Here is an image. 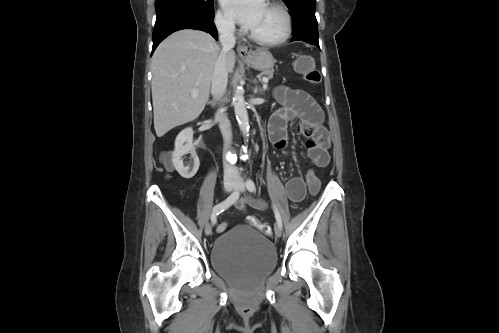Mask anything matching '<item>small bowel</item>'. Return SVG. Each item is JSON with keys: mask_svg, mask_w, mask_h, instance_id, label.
<instances>
[{"mask_svg": "<svg viewBox=\"0 0 499 333\" xmlns=\"http://www.w3.org/2000/svg\"><path fill=\"white\" fill-rule=\"evenodd\" d=\"M275 96L282 107L276 110L268 123V135L271 143L278 150H284L288 144V126L297 120V132L306 138L305 146L308 157L317 167L323 168L329 164L330 135L323 125V111L316 101L306 92L288 87H278ZM286 191L292 202H300L306 194L305 183L300 177H292L286 183ZM247 205L263 210L266 204L259 199L238 198L235 206L244 212ZM227 224L218 227L222 232Z\"/></svg>", "mask_w": 499, "mask_h": 333, "instance_id": "c3829d8e", "label": "small bowel"}]
</instances>
